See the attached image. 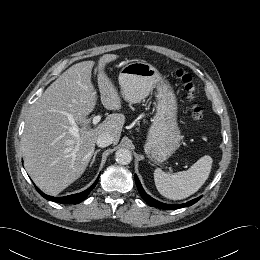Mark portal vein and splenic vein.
<instances>
[{
	"instance_id": "18ae733b",
	"label": "portal vein and splenic vein",
	"mask_w": 260,
	"mask_h": 260,
	"mask_svg": "<svg viewBox=\"0 0 260 260\" xmlns=\"http://www.w3.org/2000/svg\"><path fill=\"white\" fill-rule=\"evenodd\" d=\"M100 120H101V116L100 115H97V116L93 117V119H92L93 125H97L100 122ZM70 132L74 136H78V132H79L78 127L75 124H73V126L70 129Z\"/></svg>"
}]
</instances>
